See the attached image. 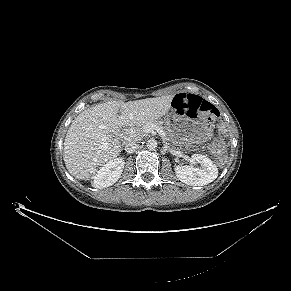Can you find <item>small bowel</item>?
I'll list each match as a JSON object with an SVG mask.
<instances>
[{
  "mask_svg": "<svg viewBox=\"0 0 291 291\" xmlns=\"http://www.w3.org/2000/svg\"><path fill=\"white\" fill-rule=\"evenodd\" d=\"M183 95H192V96H197L195 94H185V93H182Z\"/></svg>",
  "mask_w": 291,
  "mask_h": 291,
  "instance_id": "c3829d8e",
  "label": "small bowel"
}]
</instances>
